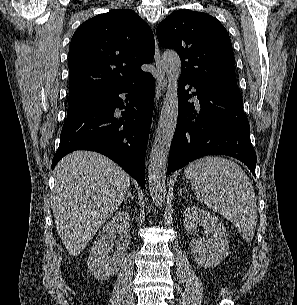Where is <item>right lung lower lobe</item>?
Returning <instances> with one entry per match:
<instances>
[{
  "label": "right lung lower lobe",
  "mask_w": 297,
  "mask_h": 305,
  "mask_svg": "<svg viewBox=\"0 0 297 305\" xmlns=\"http://www.w3.org/2000/svg\"><path fill=\"white\" fill-rule=\"evenodd\" d=\"M154 92V78L146 73L130 83L112 88L96 102L67 116L52 169L72 151L91 150L112 159L143 189ZM117 109L124 111L118 113Z\"/></svg>",
  "instance_id": "obj_1"
}]
</instances>
